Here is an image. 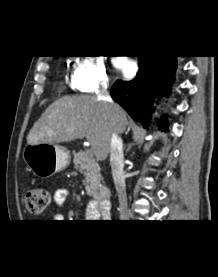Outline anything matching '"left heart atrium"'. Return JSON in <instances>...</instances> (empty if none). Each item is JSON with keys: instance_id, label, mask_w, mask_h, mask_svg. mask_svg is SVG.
I'll list each match as a JSON object with an SVG mask.
<instances>
[{"instance_id": "obj_1", "label": "left heart atrium", "mask_w": 218, "mask_h": 277, "mask_svg": "<svg viewBox=\"0 0 218 277\" xmlns=\"http://www.w3.org/2000/svg\"><path fill=\"white\" fill-rule=\"evenodd\" d=\"M116 66L120 69H126L128 64L126 62H117Z\"/></svg>"}]
</instances>
